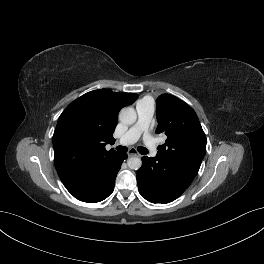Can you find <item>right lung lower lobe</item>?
<instances>
[{
	"mask_svg": "<svg viewBox=\"0 0 264 264\" xmlns=\"http://www.w3.org/2000/svg\"><path fill=\"white\" fill-rule=\"evenodd\" d=\"M126 158L127 154L123 153H118L116 156L113 157L103 174L104 185L102 186L101 190L92 198L84 200V202H100L107 198L113 192L116 175L121 168L122 162Z\"/></svg>",
	"mask_w": 264,
	"mask_h": 264,
	"instance_id": "obj_1",
	"label": "right lung lower lobe"
}]
</instances>
